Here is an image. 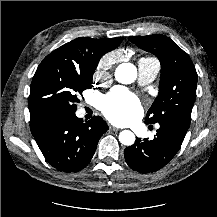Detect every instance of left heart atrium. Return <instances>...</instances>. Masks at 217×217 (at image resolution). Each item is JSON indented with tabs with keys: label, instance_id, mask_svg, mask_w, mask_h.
<instances>
[{
	"label": "left heart atrium",
	"instance_id": "obj_1",
	"mask_svg": "<svg viewBox=\"0 0 217 217\" xmlns=\"http://www.w3.org/2000/svg\"><path fill=\"white\" fill-rule=\"evenodd\" d=\"M101 109L111 122L125 125L139 116L141 105L135 95L117 87L104 97Z\"/></svg>",
	"mask_w": 217,
	"mask_h": 217
}]
</instances>
